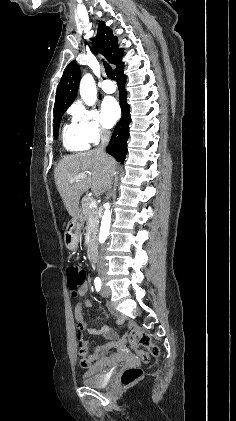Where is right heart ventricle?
Returning <instances> with one entry per match:
<instances>
[{"label":"right heart ventricle","mask_w":236,"mask_h":421,"mask_svg":"<svg viewBox=\"0 0 236 421\" xmlns=\"http://www.w3.org/2000/svg\"><path fill=\"white\" fill-rule=\"evenodd\" d=\"M63 146L68 152H83L90 148V142L74 123L65 124L62 131Z\"/></svg>","instance_id":"1"}]
</instances>
